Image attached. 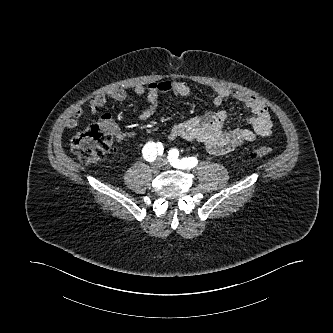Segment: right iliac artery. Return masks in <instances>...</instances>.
Instances as JSON below:
<instances>
[{
	"instance_id": "obj_1",
	"label": "right iliac artery",
	"mask_w": 333,
	"mask_h": 333,
	"mask_svg": "<svg viewBox=\"0 0 333 333\" xmlns=\"http://www.w3.org/2000/svg\"><path fill=\"white\" fill-rule=\"evenodd\" d=\"M163 145L161 143L155 144L154 142H148L143 150V157L149 161L152 162L156 159L157 155H162L163 154Z\"/></svg>"
}]
</instances>
